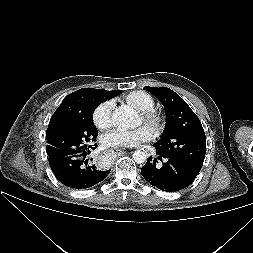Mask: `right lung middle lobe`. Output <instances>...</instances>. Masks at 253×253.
Listing matches in <instances>:
<instances>
[{
    "label": "right lung middle lobe",
    "mask_w": 253,
    "mask_h": 253,
    "mask_svg": "<svg viewBox=\"0 0 253 253\" xmlns=\"http://www.w3.org/2000/svg\"><path fill=\"white\" fill-rule=\"evenodd\" d=\"M104 101L100 93L90 90L74 112L48 126L46 151L49 158L78 154L91 147L98 135L92 115L95 108Z\"/></svg>",
    "instance_id": "1"
}]
</instances>
